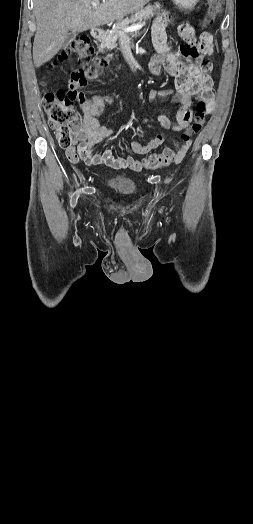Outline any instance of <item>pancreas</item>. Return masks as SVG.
<instances>
[{
  "mask_svg": "<svg viewBox=\"0 0 253 524\" xmlns=\"http://www.w3.org/2000/svg\"><path fill=\"white\" fill-rule=\"evenodd\" d=\"M168 14V11L163 10L159 3L147 5L146 7L136 11V13L130 18L118 21L112 30L107 31L100 40V44L98 46L99 51L103 52L105 49L115 48L117 46V41L122 36H127V32L124 31V29L129 27L130 24L134 25L135 23H141L142 20L150 19L154 15L159 18L167 19Z\"/></svg>",
  "mask_w": 253,
  "mask_h": 524,
  "instance_id": "cf45deb5",
  "label": "pancreas"
}]
</instances>
